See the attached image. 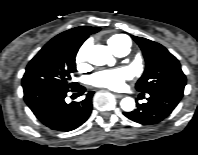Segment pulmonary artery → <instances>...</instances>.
<instances>
[{
    "instance_id": "e3ab8cb5",
    "label": "pulmonary artery",
    "mask_w": 198,
    "mask_h": 155,
    "mask_svg": "<svg viewBox=\"0 0 198 155\" xmlns=\"http://www.w3.org/2000/svg\"><path fill=\"white\" fill-rule=\"evenodd\" d=\"M130 44L128 41L125 42L124 46L116 53L118 56H125L129 52Z\"/></svg>"
}]
</instances>
